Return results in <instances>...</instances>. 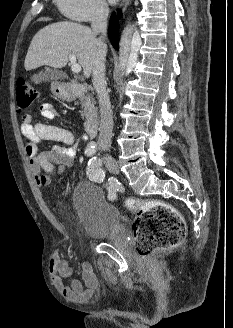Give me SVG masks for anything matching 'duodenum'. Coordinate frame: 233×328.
I'll return each instance as SVG.
<instances>
[{
    "label": "duodenum",
    "instance_id": "obj_1",
    "mask_svg": "<svg viewBox=\"0 0 233 328\" xmlns=\"http://www.w3.org/2000/svg\"><path fill=\"white\" fill-rule=\"evenodd\" d=\"M86 90V87L82 84L72 83L66 89L68 97H76L82 94ZM98 119L96 116H90L86 121V129L91 136H94L98 131Z\"/></svg>",
    "mask_w": 233,
    "mask_h": 328
}]
</instances>
